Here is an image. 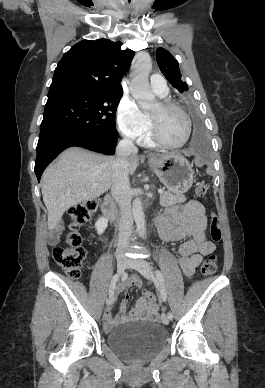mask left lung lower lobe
Instances as JSON below:
<instances>
[{"mask_svg": "<svg viewBox=\"0 0 265 388\" xmlns=\"http://www.w3.org/2000/svg\"><path fill=\"white\" fill-rule=\"evenodd\" d=\"M191 152L199 155L206 156L208 155V142L203 130L200 120L196 119L194 124L193 136L190 142Z\"/></svg>", "mask_w": 265, "mask_h": 388, "instance_id": "1", "label": "left lung lower lobe"}]
</instances>
